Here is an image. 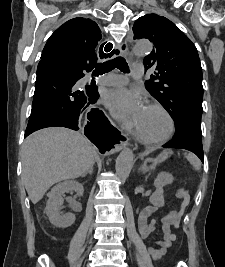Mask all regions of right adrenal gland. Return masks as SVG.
Listing matches in <instances>:
<instances>
[{
    "mask_svg": "<svg viewBox=\"0 0 225 267\" xmlns=\"http://www.w3.org/2000/svg\"><path fill=\"white\" fill-rule=\"evenodd\" d=\"M94 164H95V161L93 162L92 166L89 168V170L83 176H86L87 174L92 175Z\"/></svg>",
    "mask_w": 225,
    "mask_h": 267,
    "instance_id": "2a0ac1e0",
    "label": "right adrenal gland"
}]
</instances>
